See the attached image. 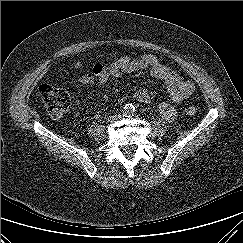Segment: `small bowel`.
Instances as JSON below:
<instances>
[{"label":"small bowel","instance_id":"1","mask_svg":"<svg viewBox=\"0 0 243 243\" xmlns=\"http://www.w3.org/2000/svg\"><path fill=\"white\" fill-rule=\"evenodd\" d=\"M137 70H149L153 78L165 83L168 100L160 103L159 112L165 121H174L177 112L172 103H179L190 97L195 90V85L193 82L185 80L176 71L163 64L154 55L144 54L137 57L126 56L109 64L97 63L93 66L90 73L79 77V82L86 86H92L95 83L106 85L120 79L125 74H130ZM127 98L128 97L119 98L117 104L123 103ZM132 98L141 103L150 102V95L145 89L137 90L132 95Z\"/></svg>","mask_w":243,"mask_h":243}]
</instances>
